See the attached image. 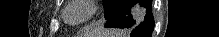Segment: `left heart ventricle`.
Listing matches in <instances>:
<instances>
[{"label": "left heart ventricle", "mask_w": 219, "mask_h": 37, "mask_svg": "<svg viewBox=\"0 0 219 37\" xmlns=\"http://www.w3.org/2000/svg\"><path fill=\"white\" fill-rule=\"evenodd\" d=\"M88 7L82 3L73 4L67 11V17L71 21H78L88 14Z\"/></svg>", "instance_id": "obj_1"}]
</instances>
